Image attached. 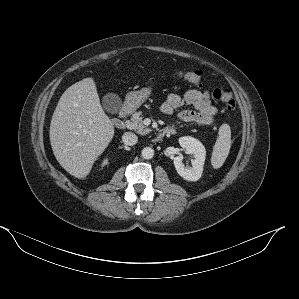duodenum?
<instances>
[{
	"mask_svg": "<svg viewBox=\"0 0 299 299\" xmlns=\"http://www.w3.org/2000/svg\"><path fill=\"white\" fill-rule=\"evenodd\" d=\"M131 109L129 107H125L122 112L121 116L119 118L114 119L113 123L114 126L118 129H123L126 127V119L130 114ZM176 130L172 127H166L162 129L158 135L156 136V140H161L167 136L174 135Z\"/></svg>",
	"mask_w": 299,
	"mask_h": 299,
	"instance_id": "1",
	"label": "duodenum"
}]
</instances>
